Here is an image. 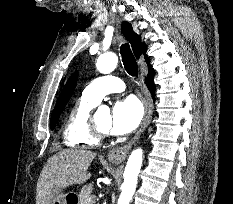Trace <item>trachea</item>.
Returning <instances> with one entry per match:
<instances>
[{
	"label": "trachea",
	"instance_id": "trachea-1",
	"mask_svg": "<svg viewBox=\"0 0 233 204\" xmlns=\"http://www.w3.org/2000/svg\"><path fill=\"white\" fill-rule=\"evenodd\" d=\"M122 62L127 73L132 77L138 76V65L136 59L130 49V46L125 43L120 48Z\"/></svg>",
	"mask_w": 233,
	"mask_h": 204
}]
</instances>
